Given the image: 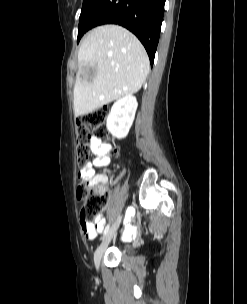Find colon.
<instances>
[{
  "mask_svg": "<svg viewBox=\"0 0 247 304\" xmlns=\"http://www.w3.org/2000/svg\"><path fill=\"white\" fill-rule=\"evenodd\" d=\"M107 117L108 110L99 108L77 120V162L79 165H85L89 158L91 138L106 135ZM111 153L116 155L118 150L114 148ZM108 197V192L101 186V183L82 181L78 187L81 222L94 223L105 209Z\"/></svg>",
  "mask_w": 247,
  "mask_h": 304,
  "instance_id": "colon-1",
  "label": "colon"
}]
</instances>
